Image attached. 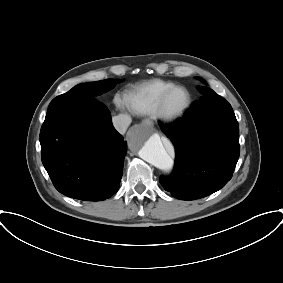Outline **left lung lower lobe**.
<instances>
[{"label":"left lung lower lobe","instance_id":"obj_1","mask_svg":"<svg viewBox=\"0 0 283 283\" xmlns=\"http://www.w3.org/2000/svg\"><path fill=\"white\" fill-rule=\"evenodd\" d=\"M233 114L228 101L214 93L195 102L181 119L160 124L176 149L172 175L160 177L166 191L195 200L225 186L240 154L239 133L225 130Z\"/></svg>","mask_w":283,"mask_h":283}]
</instances>
